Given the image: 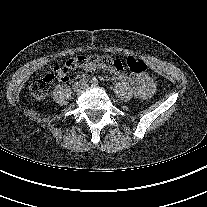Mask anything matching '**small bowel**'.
I'll list each match as a JSON object with an SVG mask.
<instances>
[{
  "mask_svg": "<svg viewBox=\"0 0 207 207\" xmlns=\"http://www.w3.org/2000/svg\"><path fill=\"white\" fill-rule=\"evenodd\" d=\"M85 71H95L98 69H105L110 72L117 80L125 84H136L134 88V95L140 100H148L152 97L155 91V84L152 78L147 74L141 75H127L123 70V63L119 59L112 60L108 66H100L95 63H89L81 67ZM58 80L61 82L69 81V73H62L58 67L54 68Z\"/></svg>",
  "mask_w": 207,
  "mask_h": 207,
  "instance_id": "1",
  "label": "small bowel"
}]
</instances>
